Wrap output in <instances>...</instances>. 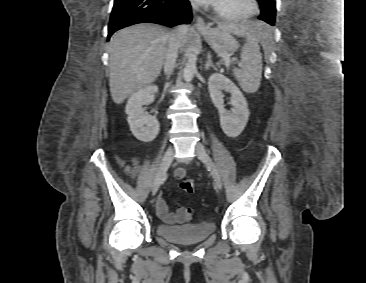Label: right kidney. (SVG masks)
Masks as SVG:
<instances>
[{"mask_svg": "<svg viewBox=\"0 0 366 283\" xmlns=\"http://www.w3.org/2000/svg\"><path fill=\"white\" fill-rule=\"evenodd\" d=\"M158 92L156 85H149L139 89L128 99L125 112L132 134L140 141L150 142L159 133V122L155 116L144 112L143 106L151 103L154 93Z\"/></svg>", "mask_w": 366, "mask_h": 283, "instance_id": "obj_1", "label": "right kidney"}]
</instances>
